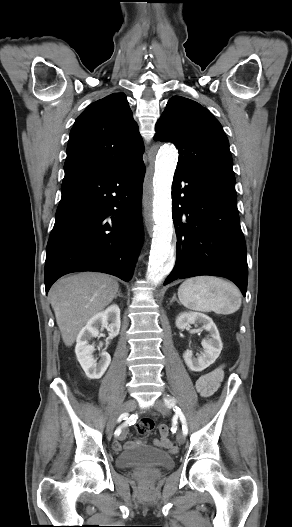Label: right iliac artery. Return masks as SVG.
I'll list each match as a JSON object with an SVG mask.
<instances>
[{"label":"right iliac artery","mask_w":292,"mask_h":527,"mask_svg":"<svg viewBox=\"0 0 292 527\" xmlns=\"http://www.w3.org/2000/svg\"><path fill=\"white\" fill-rule=\"evenodd\" d=\"M137 419H138L137 414L132 413V416L130 417L128 421H124L123 423H121V425H117V429L114 433L115 436L120 435L122 429H125V428L131 429L133 426H135V422L137 421Z\"/></svg>","instance_id":"right-iliac-artery-1"}]
</instances>
